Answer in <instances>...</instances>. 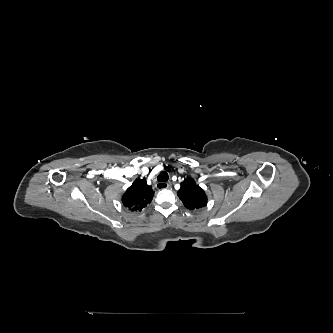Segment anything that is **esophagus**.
Returning <instances> with one entry per match:
<instances>
[{
    "label": "esophagus",
    "mask_w": 333,
    "mask_h": 333,
    "mask_svg": "<svg viewBox=\"0 0 333 333\" xmlns=\"http://www.w3.org/2000/svg\"><path fill=\"white\" fill-rule=\"evenodd\" d=\"M156 188L159 189V190L168 189V188H170V184H168L166 182H158L156 184Z\"/></svg>",
    "instance_id": "1"
}]
</instances>
